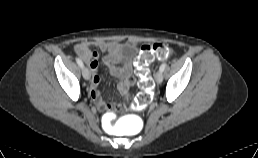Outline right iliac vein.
I'll return each mask as SVG.
<instances>
[{"mask_svg": "<svg viewBox=\"0 0 258 158\" xmlns=\"http://www.w3.org/2000/svg\"><path fill=\"white\" fill-rule=\"evenodd\" d=\"M82 75H83L84 79H86V80L90 79L91 74L87 67L82 68Z\"/></svg>", "mask_w": 258, "mask_h": 158, "instance_id": "right-iliac-vein-1", "label": "right iliac vein"}]
</instances>
